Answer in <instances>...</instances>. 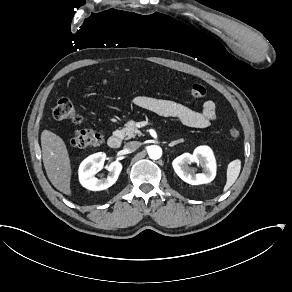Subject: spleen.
<instances>
[{"label": "spleen", "mask_w": 292, "mask_h": 292, "mask_svg": "<svg viewBox=\"0 0 292 292\" xmlns=\"http://www.w3.org/2000/svg\"><path fill=\"white\" fill-rule=\"evenodd\" d=\"M241 171V160L235 159L227 164L226 184L223 192H226L237 180Z\"/></svg>", "instance_id": "3e777b00"}]
</instances>
